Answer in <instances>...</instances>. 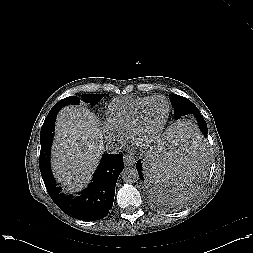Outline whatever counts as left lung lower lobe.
<instances>
[{"label": "left lung lower lobe", "instance_id": "0a47b994", "mask_svg": "<svg viewBox=\"0 0 253 253\" xmlns=\"http://www.w3.org/2000/svg\"><path fill=\"white\" fill-rule=\"evenodd\" d=\"M201 122H205L203 117ZM182 155L183 161L173 166L177 169L169 167L168 160L162 159L159 172L164 175L159 177L144 171L141 160L137 161L136 169L147 186L150 203L158 209L170 210L189 199L205 174L207 159L202 139L197 137Z\"/></svg>", "mask_w": 253, "mask_h": 253}]
</instances>
